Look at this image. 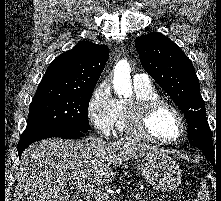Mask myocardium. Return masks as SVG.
I'll list each match as a JSON object with an SVG mask.
<instances>
[{"label": "myocardium", "mask_w": 221, "mask_h": 201, "mask_svg": "<svg viewBox=\"0 0 221 201\" xmlns=\"http://www.w3.org/2000/svg\"><path fill=\"white\" fill-rule=\"evenodd\" d=\"M160 109H168L177 117L181 126V132L178 137L169 140L160 139L149 131L148 123L152 116ZM125 124L128 132L133 136L161 145L177 143L186 133V122L180 110L162 98L130 102L126 107Z\"/></svg>", "instance_id": "f54148a6"}]
</instances>
